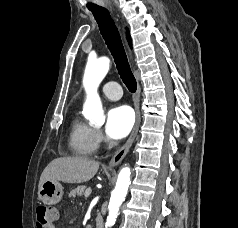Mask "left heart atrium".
I'll use <instances>...</instances> for the list:
<instances>
[{
  "instance_id": "39dd6f15",
  "label": "left heart atrium",
  "mask_w": 238,
  "mask_h": 228,
  "mask_svg": "<svg viewBox=\"0 0 238 228\" xmlns=\"http://www.w3.org/2000/svg\"><path fill=\"white\" fill-rule=\"evenodd\" d=\"M134 120L133 110L129 106H114L107 113L105 132L112 139H122L132 129Z\"/></svg>"
}]
</instances>
